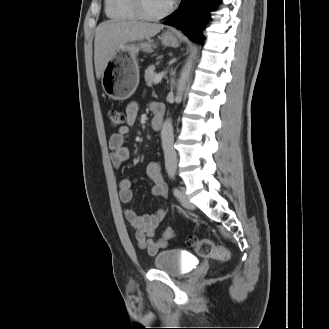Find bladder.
<instances>
[{"mask_svg":"<svg viewBox=\"0 0 329 329\" xmlns=\"http://www.w3.org/2000/svg\"><path fill=\"white\" fill-rule=\"evenodd\" d=\"M153 265L156 270L173 277H181L186 273L185 260L182 252L177 249L163 250L156 254Z\"/></svg>","mask_w":329,"mask_h":329,"instance_id":"31cf9c89","label":"bladder"}]
</instances>
